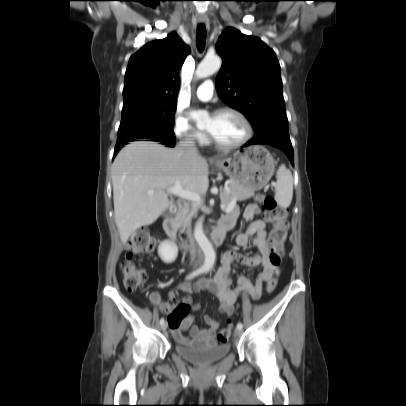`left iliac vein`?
Segmentation results:
<instances>
[{"label":"left iliac vein","mask_w":406,"mask_h":406,"mask_svg":"<svg viewBox=\"0 0 406 406\" xmlns=\"http://www.w3.org/2000/svg\"><path fill=\"white\" fill-rule=\"evenodd\" d=\"M235 334H236V335H241V334H242V329H238V328H237V329L235 330Z\"/></svg>","instance_id":"4c4485c4"}]
</instances>
